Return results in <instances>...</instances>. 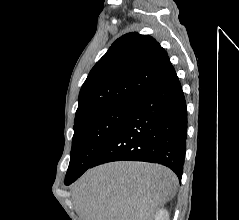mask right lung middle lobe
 I'll return each instance as SVG.
<instances>
[{
    "instance_id": "dd1d6c3e",
    "label": "right lung middle lobe",
    "mask_w": 239,
    "mask_h": 220,
    "mask_svg": "<svg viewBox=\"0 0 239 220\" xmlns=\"http://www.w3.org/2000/svg\"><path fill=\"white\" fill-rule=\"evenodd\" d=\"M131 104L99 110L75 121L71 158L65 184L76 180L91 164L124 120Z\"/></svg>"
}]
</instances>
